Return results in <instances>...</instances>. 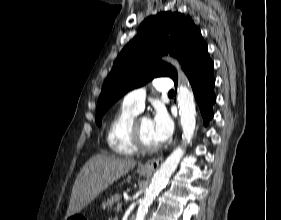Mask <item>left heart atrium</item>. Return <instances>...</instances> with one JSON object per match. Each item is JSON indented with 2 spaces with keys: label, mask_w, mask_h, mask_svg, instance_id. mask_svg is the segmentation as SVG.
<instances>
[{
  "label": "left heart atrium",
  "mask_w": 281,
  "mask_h": 220,
  "mask_svg": "<svg viewBox=\"0 0 281 220\" xmlns=\"http://www.w3.org/2000/svg\"><path fill=\"white\" fill-rule=\"evenodd\" d=\"M152 133L158 143L166 142L173 133V122L167 112L158 109L151 120Z\"/></svg>",
  "instance_id": "39dd6f15"
}]
</instances>
